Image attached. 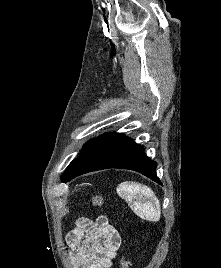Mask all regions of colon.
Instances as JSON below:
<instances>
[{
	"label": "colon",
	"instance_id": "obj_1",
	"mask_svg": "<svg viewBox=\"0 0 221 268\" xmlns=\"http://www.w3.org/2000/svg\"><path fill=\"white\" fill-rule=\"evenodd\" d=\"M91 200L94 207H102L104 205V198L101 195H94ZM120 268H132V261L128 256L123 255L120 258Z\"/></svg>",
	"mask_w": 221,
	"mask_h": 268
}]
</instances>
